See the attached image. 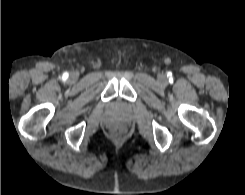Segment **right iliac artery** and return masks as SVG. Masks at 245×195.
I'll return each instance as SVG.
<instances>
[{
  "mask_svg": "<svg viewBox=\"0 0 245 195\" xmlns=\"http://www.w3.org/2000/svg\"><path fill=\"white\" fill-rule=\"evenodd\" d=\"M64 76L67 78L68 77V73H65Z\"/></svg>",
  "mask_w": 245,
  "mask_h": 195,
  "instance_id": "right-iliac-artery-1",
  "label": "right iliac artery"
}]
</instances>
